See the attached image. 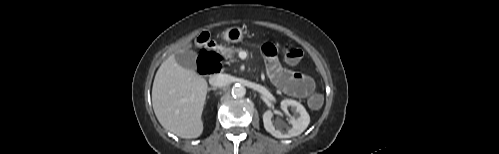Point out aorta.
I'll return each mask as SVG.
<instances>
[{"mask_svg": "<svg viewBox=\"0 0 499 154\" xmlns=\"http://www.w3.org/2000/svg\"><path fill=\"white\" fill-rule=\"evenodd\" d=\"M245 94H246V89L244 86H242V85L233 86L232 95L234 97L241 98V97L245 96Z\"/></svg>", "mask_w": 499, "mask_h": 154, "instance_id": "1", "label": "aorta"}]
</instances>
